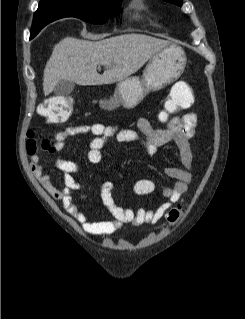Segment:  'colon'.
Here are the masks:
<instances>
[{"label":"colon","mask_w":245,"mask_h":319,"mask_svg":"<svg viewBox=\"0 0 245 319\" xmlns=\"http://www.w3.org/2000/svg\"><path fill=\"white\" fill-rule=\"evenodd\" d=\"M189 107L184 97V92L171 91L167 101V113H177ZM73 109V103L66 96H57L44 101L40 106L41 114L52 123H61L66 121ZM50 144L47 140L41 139L33 130L28 132L27 151L29 155H34L39 150L49 149ZM181 206L173 208L168 215L169 222H175L180 216Z\"/></svg>","instance_id":"1"}]
</instances>
